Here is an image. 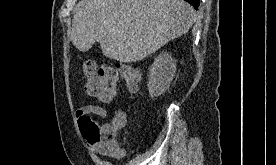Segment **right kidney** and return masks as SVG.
<instances>
[{"label":"right kidney","mask_w":276,"mask_h":165,"mask_svg":"<svg viewBox=\"0 0 276 165\" xmlns=\"http://www.w3.org/2000/svg\"><path fill=\"white\" fill-rule=\"evenodd\" d=\"M176 73V61L171 54H160L149 68L147 87L151 97L163 94L170 86Z\"/></svg>","instance_id":"obj_1"}]
</instances>
